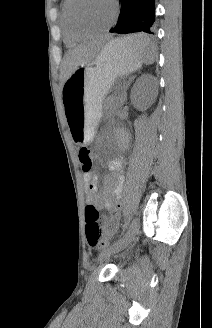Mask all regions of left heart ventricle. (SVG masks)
<instances>
[{"label":"left heart ventricle","instance_id":"b2bd125f","mask_svg":"<svg viewBox=\"0 0 212 328\" xmlns=\"http://www.w3.org/2000/svg\"><path fill=\"white\" fill-rule=\"evenodd\" d=\"M73 17L83 26L103 27L113 17V5L111 0H80L73 8Z\"/></svg>","mask_w":212,"mask_h":328}]
</instances>
